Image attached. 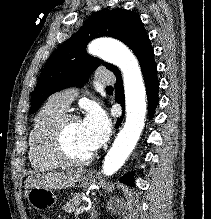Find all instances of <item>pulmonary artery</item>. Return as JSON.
<instances>
[{
	"label": "pulmonary artery",
	"instance_id": "obj_1",
	"mask_svg": "<svg viewBox=\"0 0 211 219\" xmlns=\"http://www.w3.org/2000/svg\"><path fill=\"white\" fill-rule=\"evenodd\" d=\"M97 80L101 84H112L114 83L115 78L107 71H99L97 73ZM76 94L77 91L75 89H67L53 95L50 100L64 108H67L75 98Z\"/></svg>",
	"mask_w": 211,
	"mask_h": 219
}]
</instances>
